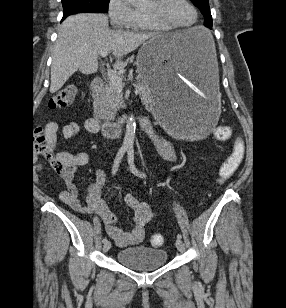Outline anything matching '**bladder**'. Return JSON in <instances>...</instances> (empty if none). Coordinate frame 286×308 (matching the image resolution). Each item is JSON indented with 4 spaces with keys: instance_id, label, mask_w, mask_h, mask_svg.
<instances>
[{
    "instance_id": "31cf9c89",
    "label": "bladder",
    "mask_w": 286,
    "mask_h": 308,
    "mask_svg": "<svg viewBox=\"0 0 286 308\" xmlns=\"http://www.w3.org/2000/svg\"><path fill=\"white\" fill-rule=\"evenodd\" d=\"M116 258L124 267L136 271H152L166 263L168 254L165 249L134 245L120 249Z\"/></svg>"
}]
</instances>
